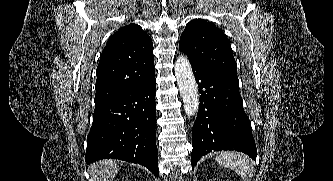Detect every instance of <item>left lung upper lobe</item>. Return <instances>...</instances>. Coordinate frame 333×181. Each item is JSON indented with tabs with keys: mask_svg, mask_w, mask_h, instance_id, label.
Wrapping results in <instances>:
<instances>
[{
	"mask_svg": "<svg viewBox=\"0 0 333 181\" xmlns=\"http://www.w3.org/2000/svg\"><path fill=\"white\" fill-rule=\"evenodd\" d=\"M179 50L188 56L191 65L239 84L231 46L213 23L203 19L190 21L181 35Z\"/></svg>",
	"mask_w": 333,
	"mask_h": 181,
	"instance_id": "obj_1",
	"label": "left lung upper lobe"
}]
</instances>
